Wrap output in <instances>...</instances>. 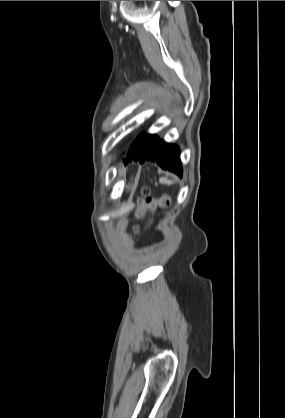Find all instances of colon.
<instances>
[{"instance_id":"obj_1","label":"colon","mask_w":285,"mask_h":418,"mask_svg":"<svg viewBox=\"0 0 285 418\" xmlns=\"http://www.w3.org/2000/svg\"><path fill=\"white\" fill-rule=\"evenodd\" d=\"M144 198H146V199L151 198V195L149 193L145 192L144 193ZM167 202H168L167 199H161V200H158L156 202L149 201L145 205H143V207H141L139 209V215H142L147 210H152L154 208V206H156V205H164Z\"/></svg>"}]
</instances>
